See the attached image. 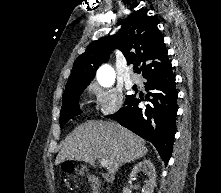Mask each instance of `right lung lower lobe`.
I'll list each match as a JSON object with an SVG mask.
<instances>
[{
	"instance_id": "98d812e1",
	"label": "right lung lower lobe",
	"mask_w": 221,
	"mask_h": 193,
	"mask_svg": "<svg viewBox=\"0 0 221 193\" xmlns=\"http://www.w3.org/2000/svg\"><path fill=\"white\" fill-rule=\"evenodd\" d=\"M146 100L150 102L145 109L139 108L141 99L137 95L129 98L124 107L115 114L106 116L118 122L142 138L150 141L167 165L173 148L176 133L177 95L175 76L171 66L145 76Z\"/></svg>"
}]
</instances>
